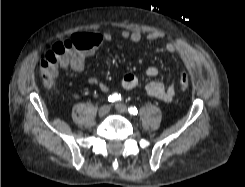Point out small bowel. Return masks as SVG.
I'll use <instances>...</instances> for the list:
<instances>
[{"label":"small bowel","mask_w":245,"mask_h":187,"mask_svg":"<svg viewBox=\"0 0 245 187\" xmlns=\"http://www.w3.org/2000/svg\"><path fill=\"white\" fill-rule=\"evenodd\" d=\"M121 38L124 40H128L131 42H140L143 38L148 41H162L164 39V34L159 31H152L148 32L147 34L143 35L140 31H127L124 30L120 34ZM113 36L109 32L104 33H97L89 35L86 39L82 41L83 47L92 51L97 43L101 42H111ZM165 49L169 53L178 54L183 61L188 66H193L196 60V55L194 51L185 45L184 43L178 41H169L165 44ZM86 53L82 51L72 52L70 53L66 60L59 64L60 68L62 69H71L75 72H82L86 67ZM159 70L155 66H150L146 70V75L150 78H154L158 75ZM138 77L133 73L125 74L121 81L120 87L125 90H131L138 85ZM90 85L97 86L101 91L107 92L109 90V86L99 82L95 78H91L89 80ZM146 93L161 101V102H170L174 98L175 95V88L174 86L166 87L163 83L159 81H150L146 85ZM74 98H79L78 93H72Z\"/></svg>","instance_id":"obj_1"}]
</instances>
